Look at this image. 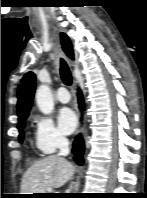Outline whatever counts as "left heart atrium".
<instances>
[{
	"label": "left heart atrium",
	"instance_id": "1",
	"mask_svg": "<svg viewBox=\"0 0 147 198\" xmlns=\"http://www.w3.org/2000/svg\"><path fill=\"white\" fill-rule=\"evenodd\" d=\"M58 125L63 134L69 135L77 126V115L70 108H63L58 113Z\"/></svg>",
	"mask_w": 147,
	"mask_h": 198
}]
</instances>
